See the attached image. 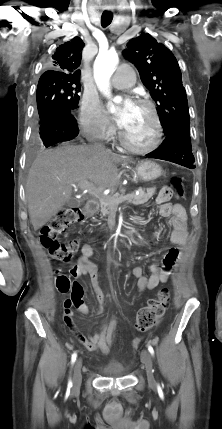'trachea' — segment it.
<instances>
[{
    "instance_id": "trachea-1",
    "label": "trachea",
    "mask_w": 222,
    "mask_h": 429,
    "mask_svg": "<svg viewBox=\"0 0 222 429\" xmlns=\"http://www.w3.org/2000/svg\"><path fill=\"white\" fill-rule=\"evenodd\" d=\"M113 19V14L111 12H104L101 16V24L103 27H107Z\"/></svg>"
}]
</instances>
